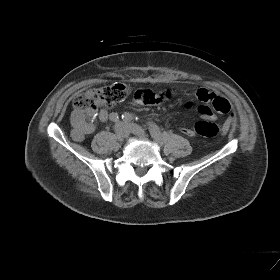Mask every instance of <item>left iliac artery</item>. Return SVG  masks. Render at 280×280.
<instances>
[{"instance_id": "1", "label": "left iliac artery", "mask_w": 280, "mask_h": 280, "mask_svg": "<svg viewBox=\"0 0 280 280\" xmlns=\"http://www.w3.org/2000/svg\"><path fill=\"white\" fill-rule=\"evenodd\" d=\"M122 119H123V121H125V122H130V121H132V120H134V119L137 120L138 118H137V117L135 118V116H133V115L130 114V113H124V114L122 115ZM147 128H148V130H149V132H150V134H151V136H152L153 138H155V139H160V138L162 137L160 128H159L155 123H153V122H148V123H147Z\"/></svg>"}]
</instances>
